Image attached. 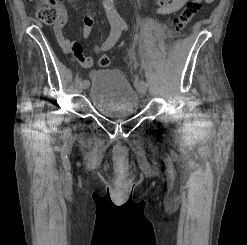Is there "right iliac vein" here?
Wrapping results in <instances>:
<instances>
[{"mask_svg": "<svg viewBox=\"0 0 247 245\" xmlns=\"http://www.w3.org/2000/svg\"><path fill=\"white\" fill-rule=\"evenodd\" d=\"M87 82V81H86ZM89 86V83L87 82V86L86 87H80L79 85H78V92H82L84 89H86L87 87Z\"/></svg>", "mask_w": 247, "mask_h": 245, "instance_id": "63e3f726", "label": "right iliac vein"}]
</instances>
